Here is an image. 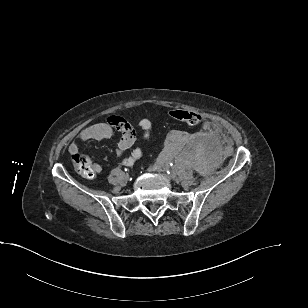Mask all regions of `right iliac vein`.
<instances>
[{
	"mask_svg": "<svg viewBox=\"0 0 308 308\" xmlns=\"http://www.w3.org/2000/svg\"><path fill=\"white\" fill-rule=\"evenodd\" d=\"M126 179H128V175H126Z\"/></svg>",
	"mask_w": 308,
	"mask_h": 308,
	"instance_id": "63e3f726",
	"label": "right iliac vein"
}]
</instances>
